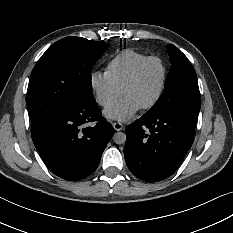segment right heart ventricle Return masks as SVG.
<instances>
[{
	"label": "right heart ventricle",
	"mask_w": 233,
	"mask_h": 233,
	"mask_svg": "<svg viewBox=\"0 0 233 233\" xmlns=\"http://www.w3.org/2000/svg\"><path fill=\"white\" fill-rule=\"evenodd\" d=\"M146 57V54L134 49L122 50L107 61L104 74L120 90L130 73Z\"/></svg>",
	"instance_id": "1"
}]
</instances>
